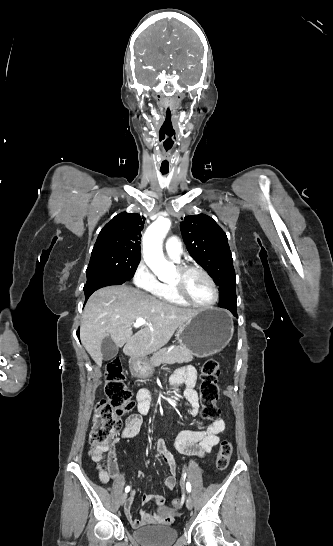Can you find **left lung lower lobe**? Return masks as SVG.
<instances>
[{
  "label": "left lung lower lobe",
  "mask_w": 333,
  "mask_h": 546,
  "mask_svg": "<svg viewBox=\"0 0 333 546\" xmlns=\"http://www.w3.org/2000/svg\"><path fill=\"white\" fill-rule=\"evenodd\" d=\"M222 308L228 309L233 315L237 316V308H236V305H233V306H226V307H222Z\"/></svg>",
  "instance_id": "1"
}]
</instances>
